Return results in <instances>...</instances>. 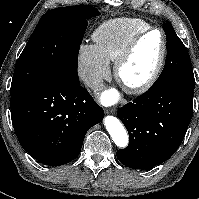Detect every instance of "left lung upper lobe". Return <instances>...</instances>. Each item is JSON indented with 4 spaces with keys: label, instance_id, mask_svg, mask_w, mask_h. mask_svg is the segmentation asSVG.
Returning a JSON list of instances; mask_svg holds the SVG:
<instances>
[{
    "label": "left lung upper lobe",
    "instance_id": "1",
    "mask_svg": "<svg viewBox=\"0 0 199 199\" xmlns=\"http://www.w3.org/2000/svg\"><path fill=\"white\" fill-rule=\"evenodd\" d=\"M163 30L167 40V58L161 75L151 88H159L176 81L195 82L190 56L172 24L166 21Z\"/></svg>",
    "mask_w": 199,
    "mask_h": 199
}]
</instances>
